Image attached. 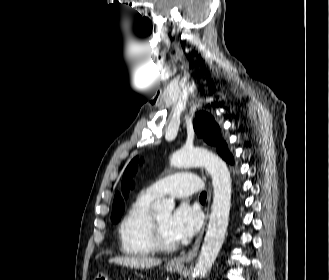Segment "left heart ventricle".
Masks as SVG:
<instances>
[{
	"label": "left heart ventricle",
	"instance_id": "1",
	"mask_svg": "<svg viewBox=\"0 0 329 280\" xmlns=\"http://www.w3.org/2000/svg\"><path fill=\"white\" fill-rule=\"evenodd\" d=\"M155 216L164 238L170 242H175L168 232V223L171 217L170 213H161Z\"/></svg>",
	"mask_w": 329,
	"mask_h": 280
}]
</instances>
